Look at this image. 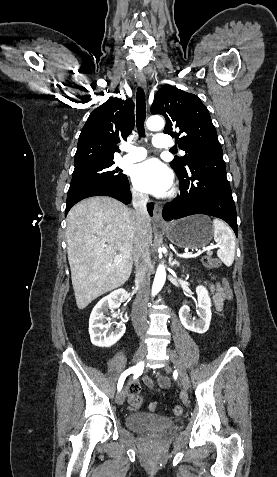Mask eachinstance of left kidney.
Here are the masks:
<instances>
[{"instance_id":"obj_1","label":"left kidney","mask_w":277,"mask_h":477,"mask_svg":"<svg viewBox=\"0 0 277 477\" xmlns=\"http://www.w3.org/2000/svg\"><path fill=\"white\" fill-rule=\"evenodd\" d=\"M196 293L198 296V315L199 320L192 318L190 314V308L187 305H183L179 310V318L182 325L190 331H193L198 334H203L207 332L210 326V321L212 317L211 313V299L207 289L203 286H198L196 288Z\"/></svg>"}]
</instances>
